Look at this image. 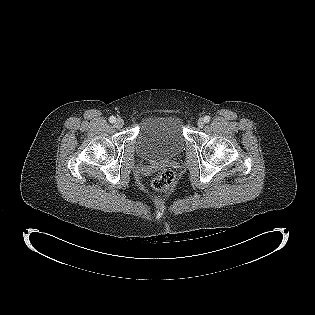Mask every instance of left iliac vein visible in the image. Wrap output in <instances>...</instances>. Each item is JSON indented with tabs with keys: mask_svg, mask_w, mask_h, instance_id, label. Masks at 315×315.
<instances>
[{
	"mask_svg": "<svg viewBox=\"0 0 315 315\" xmlns=\"http://www.w3.org/2000/svg\"><path fill=\"white\" fill-rule=\"evenodd\" d=\"M197 125H198L199 128H203L204 125H205L204 119H203V118H200V119L198 120V122H197Z\"/></svg>",
	"mask_w": 315,
	"mask_h": 315,
	"instance_id": "1",
	"label": "left iliac vein"
}]
</instances>
